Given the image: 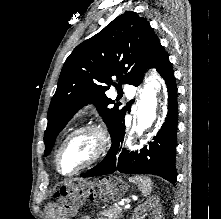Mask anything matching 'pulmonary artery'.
<instances>
[{"mask_svg":"<svg viewBox=\"0 0 221 219\" xmlns=\"http://www.w3.org/2000/svg\"><path fill=\"white\" fill-rule=\"evenodd\" d=\"M123 90L127 95H133L134 93L132 86L128 83L123 84Z\"/></svg>","mask_w":221,"mask_h":219,"instance_id":"e3ab8cb5","label":"pulmonary artery"}]
</instances>
